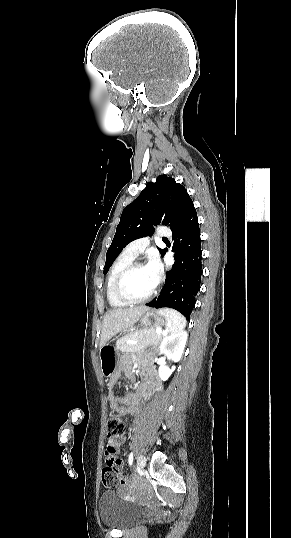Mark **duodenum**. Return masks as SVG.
I'll return each mask as SVG.
<instances>
[{"mask_svg": "<svg viewBox=\"0 0 291 538\" xmlns=\"http://www.w3.org/2000/svg\"><path fill=\"white\" fill-rule=\"evenodd\" d=\"M140 377H143V374H140Z\"/></svg>", "mask_w": 291, "mask_h": 538, "instance_id": "duodenum-1", "label": "duodenum"}]
</instances>
